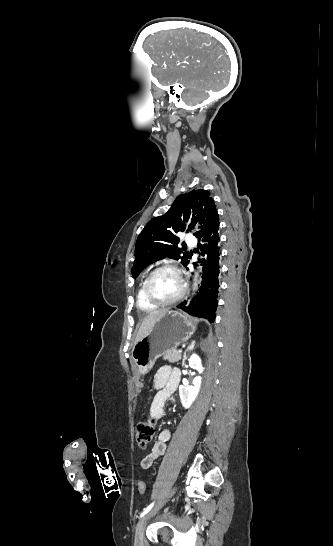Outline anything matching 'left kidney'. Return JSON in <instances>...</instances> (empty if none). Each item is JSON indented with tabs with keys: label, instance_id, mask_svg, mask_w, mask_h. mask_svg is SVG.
<instances>
[{
	"label": "left kidney",
	"instance_id": "5707ae66",
	"mask_svg": "<svg viewBox=\"0 0 333 546\" xmlns=\"http://www.w3.org/2000/svg\"><path fill=\"white\" fill-rule=\"evenodd\" d=\"M189 366L193 369H196L200 374L203 372L204 368L201 364L200 357L193 353L189 359ZM201 376H197L193 380V386H183L181 385L179 387V395L181 399V403L184 408H190L194 400L196 399L200 387H201Z\"/></svg>",
	"mask_w": 333,
	"mask_h": 546
}]
</instances>
